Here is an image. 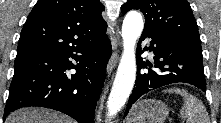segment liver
Segmentation results:
<instances>
[{
  "label": "liver",
  "instance_id": "1",
  "mask_svg": "<svg viewBox=\"0 0 221 123\" xmlns=\"http://www.w3.org/2000/svg\"><path fill=\"white\" fill-rule=\"evenodd\" d=\"M5 123H74L58 112L44 108H22L11 113Z\"/></svg>",
  "mask_w": 221,
  "mask_h": 123
}]
</instances>
